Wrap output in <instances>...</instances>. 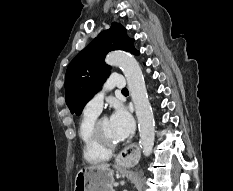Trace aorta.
Segmentation results:
<instances>
[{
	"instance_id": "obj_1",
	"label": "aorta",
	"mask_w": 233,
	"mask_h": 191,
	"mask_svg": "<svg viewBox=\"0 0 233 191\" xmlns=\"http://www.w3.org/2000/svg\"><path fill=\"white\" fill-rule=\"evenodd\" d=\"M105 61L109 65L119 66L127 79L138 119L139 145L143 154L148 157L154 146L155 122L139 63L132 55L121 51L109 53Z\"/></svg>"
}]
</instances>
